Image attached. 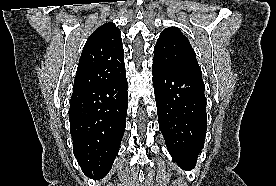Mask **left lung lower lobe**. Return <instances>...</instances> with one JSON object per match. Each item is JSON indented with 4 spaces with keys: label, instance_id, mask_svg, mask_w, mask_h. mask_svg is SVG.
Wrapping results in <instances>:
<instances>
[{
    "label": "left lung lower lobe",
    "instance_id": "1",
    "mask_svg": "<svg viewBox=\"0 0 276 186\" xmlns=\"http://www.w3.org/2000/svg\"><path fill=\"white\" fill-rule=\"evenodd\" d=\"M159 128L173 160L191 170L204 147L207 128L202 78L153 63Z\"/></svg>",
    "mask_w": 276,
    "mask_h": 186
}]
</instances>
